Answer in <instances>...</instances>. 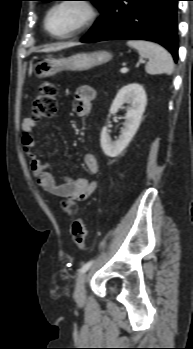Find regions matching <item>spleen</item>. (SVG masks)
Here are the masks:
<instances>
[{
	"label": "spleen",
	"instance_id": "obj_1",
	"mask_svg": "<svg viewBox=\"0 0 193 349\" xmlns=\"http://www.w3.org/2000/svg\"><path fill=\"white\" fill-rule=\"evenodd\" d=\"M128 46L137 49L141 57L148 58L145 71L148 74L171 75L174 71V62L171 54L162 46L144 40H129Z\"/></svg>",
	"mask_w": 193,
	"mask_h": 349
}]
</instances>
